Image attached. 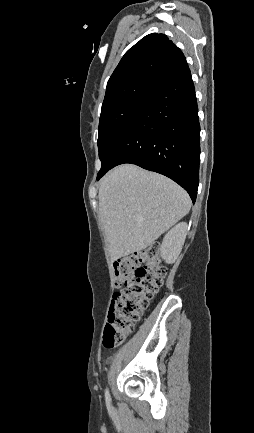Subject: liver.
Instances as JSON below:
<instances>
[{
	"label": "liver",
	"mask_w": 254,
	"mask_h": 433,
	"mask_svg": "<svg viewBox=\"0 0 254 433\" xmlns=\"http://www.w3.org/2000/svg\"><path fill=\"white\" fill-rule=\"evenodd\" d=\"M98 197L112 260L147 248L191 208L187 192L172 180L130 164L102 179Z\"/></svg>",
	"instance_id": "1"
}]
</instances>
